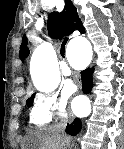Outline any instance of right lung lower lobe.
Returning <instances> with one entry per match:
<instances>
[{
    "label": "right lung lower lobe",
    "instance_id": "right-lung-lower-lobe-1",
    "mask_svg": "<svg viewBox=\"0 0 124 149\" xmlns=\"http://www.w3.org/2000/svg\"><path fill=\"white\" fill-rule=\"evenodd\" d=\"M81 120L79 118H75L72 124L67 125L66 133L75 136L81 131Z\"/></svg>",
    "mask_w": 124,
    "mask_h": 149
}]
</instances>
